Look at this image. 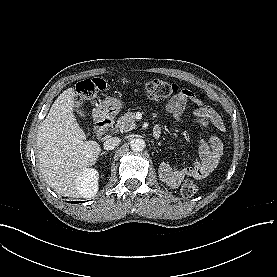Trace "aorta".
<instances>
[{
  "label": "aorta",
  "instance_id": "obj_1",
  "mask_svg": "<svg viewBox=\"0 0 277 277\" xmlns=\"http://www.w3.org/2000/svg\"><path fill=\"white\" fill-rule=\"evenodd\" d=\"M146 147V143L143 139L141 138H136V139H133L131 142H130V148L131 150H133L134 152H141L145 149Z\"/></svg>",
  "mask_w": 277,
  "mask_h": 277
}]
</instances>
